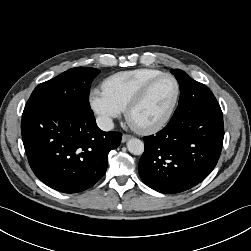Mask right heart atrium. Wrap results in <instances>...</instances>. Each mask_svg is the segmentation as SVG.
Here are the masks:
<instances>
[{"label": "right heart atrium", "mask_w": 251, "mask_h": 251, "mask_svg": "<svg viewBox=\"0 0 251 251\" xmlns=\"http://www.w3.org/2000/svg\"><path fill=\"white\" fill-rule=\"evenodd\" d=\"M89 103L99 124L104 128L111 127L113 120L119 117L123 111L104 89H92L89 94Z\"/></svg>", "instance_id": "1"}]
</instances>
